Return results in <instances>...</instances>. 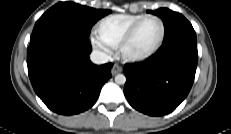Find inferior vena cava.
I'll use <instances>...</instances> for the list:
<instances>
[{
	"label": "inferior vena cava",
	"instance_id": "obj_1",
	"mask_svg": "<svg viewBox=\"0 0 231 134\" xmlns=\"http://www.w3.org/2000/svg\"><path fill=\"white\" fill-rule=\"evenodd\" d=\"M90 59L94 64L100 65L107 63L109 60V57L100 51H93L90 55Z\"/></svg>",
	"mask_w": 231,
	"mask_h": 134
}]
</instances>
